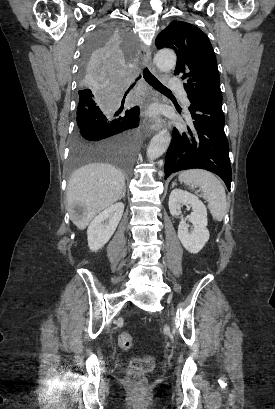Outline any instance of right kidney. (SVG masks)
I'll return each instance as SVG.
<instances>
[{
	"mask_svg": "<svg viewBox=\"0 0 275 409\" xmlns=\"http://www.w3.org/2000/svg\"><path fill=\"white\" fill-rule=\"evenodd\" d=\"M123 213V202H115V205H111V207L102 211L100 215H97V217L91 221L87 229L88 247L90 251H99V249H102V247L108 243L113 233H115ZM104 221H106V223H104Z\"/></svg>",
	"mask_w": 275,
	"mask_h": 409,
	"instance_id": "1",
	"label": "right kidney"
}]
</instances>
